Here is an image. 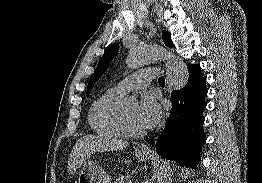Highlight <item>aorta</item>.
Wrapping results in <instances>:
<instances>
[{"mask_svg":"<svg viewBox=\"0 0 262 183\" xmlns=\"http://www.w3.org/2000/svg\"><path fill=\"white\" fill-rule=\"evenodd\" d=\"M165 61L168 74V82L174 90L182 89L188 82L189 73L184 61L177 55L166 51L159 45H148L145 47H133L127 57V65L135 69L146 64ZM137 100L134 97H126L124 104L126 106L134 105ZM170 170L169 163L163 162L161 171L167 174Z\"/></svg>","mask_w":262,"mask_h":183,"instance_id":"1","label":"aorta"}]
</instances>
